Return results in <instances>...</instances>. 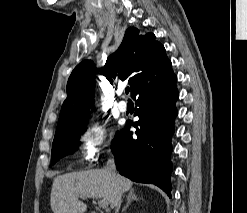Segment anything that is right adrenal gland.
<instances>
[{
    "instance_id": "2a0ac1e0",
    "label": "right adrenal gland",
    "mask_w": 247,
    "mask_h": 213,
    "mask_svg": "<svg viewBox=\"0 0 247 213\" xmlns=\"http://www.w3.org/2000/svg\"><path fill=\"white\" fill-rule=\"evenodd\" d=\"M133 200H139V198H138L137 195L135 194L134 189H131V190L128 192V195H127V203H126V205L124 206V208L122 209L123 212L126 211V209L128 208V206L130 205V203H131Z\"/></svg>"
}]
</instances>
